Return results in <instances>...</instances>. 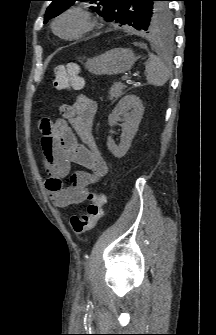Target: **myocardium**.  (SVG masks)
I'll return each mask as SVG.
<instances>
[{"instance_id": "1", "label": "myocardium", "mask_w": 216, "mask_h": 335, "mask_svg": "<svg viewBox=\"0 0 216 335\" xmlns=\"http://www.w3.org/2000/svg\"><path fill=\"white\" fill-rule=\"evenodd\" d=\"M74 15L78 17L82 22V27L79 31L72 35H62L58 32L57 26L61 19L66 16ZM96 26V19L94 16L86 9L82 7H72L61 12L53 21V31L54 33L64 40H76L83 37L85 34L90 32Z\"/></svg>"}]
</instances>
